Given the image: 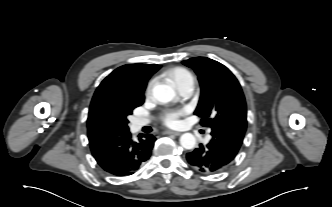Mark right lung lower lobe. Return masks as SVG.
<instances>
[{"instance_id": "obj_1", "label": "right lung lower lobe", "mask_w": 332, "mask_h": 207, "mask_svg": "<svg viewBox=\"0 0 332 207\" xmlns=\"http://www.w3.org/2000/svg\"><path fill=\"white\" fill-rule=\"evenodd\" d=\"M156 138L151 135L132 139L129 130L90 143L97 163L108 173L127 176L135 173L149 159Z\"/></svg>"}]
</instances>
